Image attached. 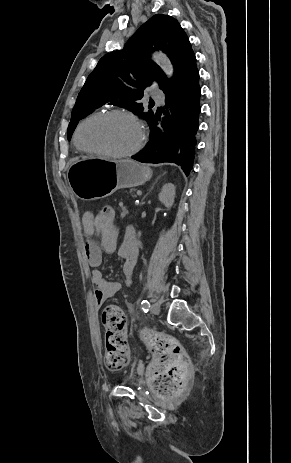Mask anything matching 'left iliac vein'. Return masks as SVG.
I'll return each mask as SVG.
<instances>
[{"label": "left iliac vein", "mask_w": 291, "mask_h": 463, "mask_svg": "<svg viewBox=\"0 0 291 463\" xmlns=\"http://www.w3.org/2000/svg\"><path fill=\"white\" fill-rule=\"evenodd\" d=\"M151 312L154 315H159L160 314V304L157 302L153 303L151 306Z\"/></svg>", "instance_id": "obj_1"}]
</instances>
